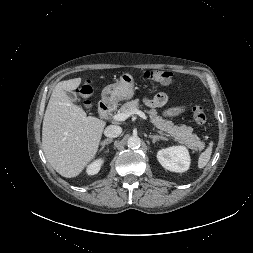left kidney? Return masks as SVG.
<instances>
[{
	"mask_svg": "<svg viewBox=\"0 0 253 253\" xmlns=\"http://www.w3.org/2000/svg\"><path fill=\"white\" fill-rule=\"evenodd\" d=\"M159 163L167 170L185 172L190 167V155L185 146H172L157 153Z\"/></svg>",
	"mask_w": 253,
	"mask_h": 253,
	"instance_id": "left-kidney-1",
	"label": "left kidney"
}]
</instances>
